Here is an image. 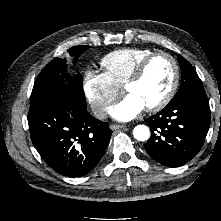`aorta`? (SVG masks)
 I'll return each mask as SVG.
<instances>
[{"label": "aorta", "instance_id": "aorta-1", "mask_svg": "<svg viewBox=\"0 0 221 221\" xmlns=\"http://www.w3.org/2000/svg\"><path fill=\"white\" fill-rule=\"evenodd\" d=\"M133 136L138 141H146L150 137V129L146 125H137L133 129Z\"/></svg>", "mask_w": 221, "mask_h": 221}]
</instances>
